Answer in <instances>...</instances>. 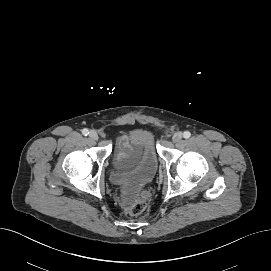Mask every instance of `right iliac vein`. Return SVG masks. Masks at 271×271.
I'll list each match as a JSON object with an SVG mask.
<instances>
[{"mask_svg":"<svg viewBox=\"0 0 271 271\" xmlns=\"http://www.w3.org/2000/svg\"><path fill=\"white\" fill-rule=\"evenodd\" d=\"M89 137L92 140H98V138H99L98 133L95 130H91L90 131Z\"/></svg>","mask_w":271,"mask_h":271,"instance_id":"1","label":"right iliac vein"}]
</instances>
